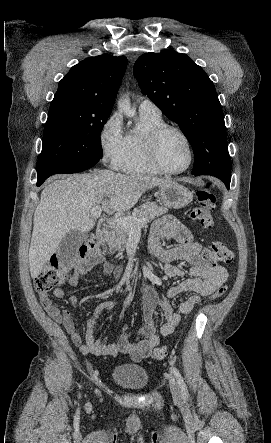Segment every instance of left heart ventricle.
<instances>
[{
    "label": "left heart ventricle",
    "instance_id": "obj_1",
    "mask_svg": "<svg viewBox=\"0 0 271 443\" xmlns=\"http://www.w3.org/2000/svg\"><path fill=\"white\" fill-rule=\"evenodd\" d=\"M162 162L171 169L184 167L189 161V149L185 140L175 131H168L159 144Z\"/></svg>",
    "mask_w": 271,
    "mask_h": 443
}]
</instances>
